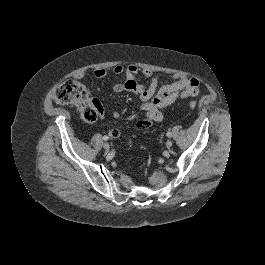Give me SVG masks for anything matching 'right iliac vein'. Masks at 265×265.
<instances>
[{"instance_id":"right-iliac-vein-1","label":"right iliac vein","mask_w":265,"mask_h":265,"mask_svg":"<svg viewBox=\"0 0 265 265\" xmlns=\"http://www.w3.org/2000/svg\"><path fill=\"white\" fill-rule=\"evenodd\" d=\"M103 147H104L105 150H109L110 149V145L107 142L103 144Z\"/></svg>"}]
</instances>
